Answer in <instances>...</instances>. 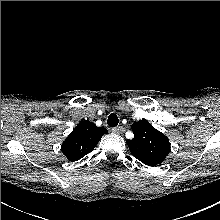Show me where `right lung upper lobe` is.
Here are the masks:
<instances>
[{"label": "right lung upper lobe", "instance_id": "1", "mask_svg": "<svg viewBox=\"0 0 220 220\" xmlns=\"http://www.w3.org/2000/svg\"><path fill=\"white\" fill-rule=\"evenodd\" d=\"M106 133L108 131L104 127H97L88 120L82 121L65 139L61 150L68 160H79L91 152Z\"/></svg>", "mask_w": 220, "mask_h": 220}]
</instances>
